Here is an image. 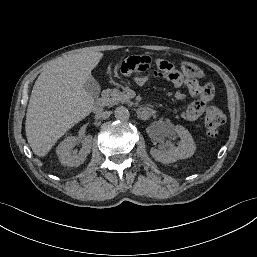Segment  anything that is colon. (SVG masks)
Returning a JSON list of instances; mask_svg holds the SVG:
<instances>
[{
  "mask_svg": "<svg viewBox=\"0 0 257 257\" xmlns=\"http://www.w3.org/2000/svg\"><path fill=\"white\" fill-rule=\"evenodd\" d=\"M153 62V61H152ZM173 68H175L173 66ZM180 70L186 77H194L196 80L205 76L201 68L191 62H180ZM225 118L223 113L214 105H209L205 111L204 124L207 134L210 137H216L224 125Z\"/></svg>",
  "mask_w": 257,
  "mask_h": 257,
  "instance_id": "obj_1",
  "label": "colon"
}]
</instances>
